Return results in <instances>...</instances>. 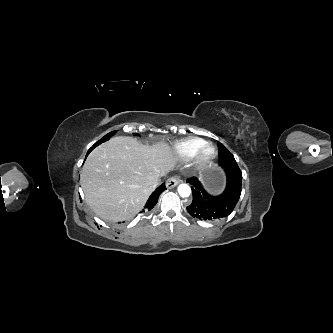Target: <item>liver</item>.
Returning a JSON list of instances; mask_svg holds the SVG:
<instances>
[{
	"instance_id": "obj_1",
	"label": "liver",
	"mask_w": 333,
	"mask_h": 333,
	"mask_svg": "<svg viewBox=\"0 0 333 333\" xmlns=\"http://www.w3.org/2000/svg\"><path fill=\"white\" fill-rule=\"evenodd\" d=\"M176 161L166 143L146 146L129 136L114 137L96 147L81 170L86 202L104 220L129 219Z\"/></svg>"
}]
</instances>
